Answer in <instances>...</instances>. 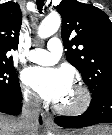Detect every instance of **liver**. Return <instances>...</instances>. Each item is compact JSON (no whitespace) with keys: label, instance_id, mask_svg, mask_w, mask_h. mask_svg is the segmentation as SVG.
Instances as JSON below:
<instances>
[{"label":"liver","instance_id":"obj_1","mask_svg":"<svg viewBox=\"0 0 112 135\" xmlns=\"http://www.w3.org/2000/svg\"><path fill=\"white\" fill-rule=\"evenodd\" d=\"M18 122L19 120L0 113V135H21L22 130Z\"/></svg>","mask_w":112,"mask_h":135}]
</instances>
